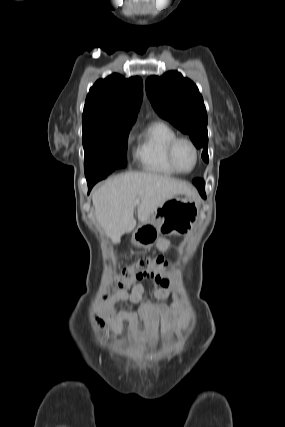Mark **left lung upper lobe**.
I'll list each match as a JSON object with an SVG mask.
<instances>
[{"mask_svg":"<svg viewBox=\"0 0 285 427\" xmlns=\"http://www.w3.org/2000/svg\"><path fill=\"white\" fill-rule=\"evenodd\" d=\"M146 92L155 111L182 132L188 134L202 158L208 162L207 112L197 86L177 71L146 80Z\"/></svg>","mask_w":285,"mask_h":427,"instance_id":"obj_1","label":"left lung upper lobe"}]
</instances>
